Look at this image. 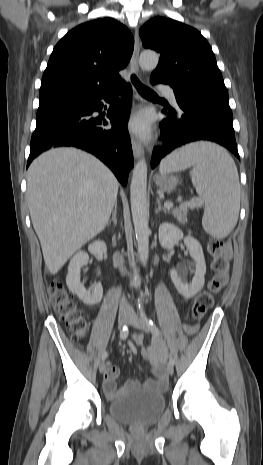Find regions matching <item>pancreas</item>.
<instances>
[{"mask_svg": "<svg viewBox=\"0 0 263 465\" xmlns=\"http://www.w3.org/2000/svg\"><path fill=\"white\" fill-rule=\"evenodd\" d=\"M187 212L188 209L186 206L181 205L178 208H175L171 211L173 216L180 222V223H185L187 222Z\"/></svg>", "mask_w": 263, "mask_h": 465, "instance_id": "obj_1", "label": "pancreas"}]
</instances>
